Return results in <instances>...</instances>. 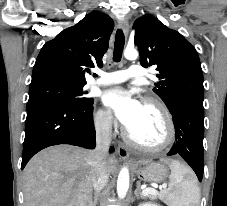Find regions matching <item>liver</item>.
Segmentation results:
<instances>
[{
    "mask_svg": "<svg viewBox=\"0 0 227 206\" xmlns=\"http://www.w3.org/2000/svg\"><path fill=\"white\" fill-rule=\"evenodd\" d=\"M92 158L93 151L70 145L40 151L24 169V206H92ZM106 163L114 172L116 159Z\"/></svg>",
    "mask_w": 227,
    "mask_h": 206,
    "instance_id": "obj_1",
    "label": "liver"
}]
</instances>
